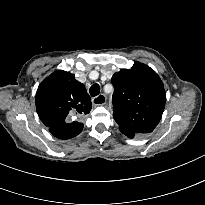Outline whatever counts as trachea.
<instances>
[{
	"instance_id": "trachea-1",
	"label": "trachea",
	"mask_w": 205,
	"mask_h": 205,
	"mask_svg": "<svg viewBox=\"0 0 205 205\" xmlns=\"http://www.w3.org/2000/svg\"><path fill=\"white\" fill-rule=\"evenodd\" d=\"M89 93L91 96H97L100 93V86L98 84H93L89 89Z\"/></svg>"
}]
</instances>
